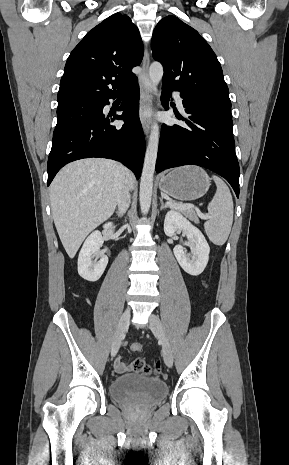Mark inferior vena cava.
Returning <instances> with one entry per match:
<instances>
[{
  "label": "inferior vena cava",
  "mask_w": 289,
  "mask_h": 465,
  "mask_svg": "<svg viewBox=\"0 0 289 465\" xmlns=\"http://www.w3.org/2000/svg\"><path fill=\"white\" fill-rule=\"evenodd\" d=\"M120 167L124 169L122 165H120ZM116 201L118 206V212L121 215L125 214L130 205V194L129 187L123 178H120L119 180Z\"/></svg>",
  "instance_id": "602c4592"
}]
</instances>
